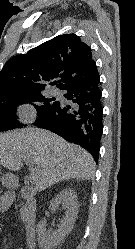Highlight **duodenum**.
Wrapping results in <instances>:
<instances>
[{
    "mask_svg": "<svg viewBox=\"0 0 135 249\" xmlns=\"http://www.w3.org/2000/svg\"><path fill=\"white\" fill-rule=\"evenodd\" d=\"M20 195L23 199H25L29 205H32L33 202H34V199H35V195H34V191L33 189H31L30 187H22L21 190H20ZM34 214H32L30 216V219L28 220L27 222V228L29 230H32L33 227H34ZM29 243L30 245H33L34 244V238H33V234L32 232L29 233Z\"/></svg>",
    "mask_w": 135,
    "mask_h": 249,
    "instance_id": "1",
    "label": "duodenum"
}]
</instances>
